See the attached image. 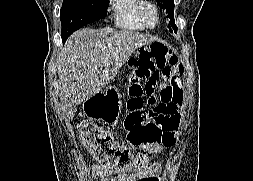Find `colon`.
I'll return each mask as SVG.
<instances>
[{
    "instance_id": "5ec220e1",
    "label": "colon",
    "mask_w": 253,
    "mask_h": 181,
    "mask_svg": "<svg viewBox=\"0 0 253 181\" xmlns=\"http://www.w3.org/2000/svg\"><path fill=\"white\" fill-rule=\"evenodd\" d=\"M140 53H149L159 67L171 68L178 75L183 72L173 55V48L167 47L164 41H151L150 48H140ZM136 78L139 79L137 75ZM178 80V77H174L173 83L176 84ZM128 96L123 126L129 145L154 151L171 146L175 141L172 132L177 126L178 118L171 114L170 105L174 100L180 102L181 97L176 95L172 100L163 91L145 93L143 87L136 82L128 88ZM80 136L98 163L107 170L134 171L148 164L145 155L132 153L128 146L98 126L84 123Z\"/></svg>"
}]
</instances>
